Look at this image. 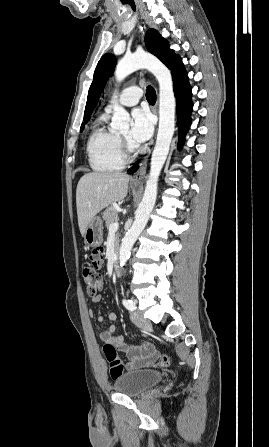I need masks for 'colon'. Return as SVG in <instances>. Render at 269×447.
<instances>
[{"label": "colon", "mask_w": 269, "mask_h": 447, "mask_svg": "<svg viewBox=\"0 0 269 447\" xmlns=\"http://www.w3.org/2000/svg\"><path fill=\"white\" fill-rule=\"evenodd\" d=\"M103 257L104 253L102 250H92L89 254V260L82 266V277L84 283L86 284V293L88 296H95L103 285V277L99 272L102 270ZM130 353L146 355L152 353V350L150 348L140 347L131 350ZM103 354L109 363V376L115 380L121 378L125 373V366L119 359L118 352L115 347L111 344H105L103 346ZM170 363V358L167 355H158L152 358L150 365L152 367H167ZM142 366V364H139L137 369L142 368Z\"/></svg>", "instance_id": "obj_1"}]
</instances>
